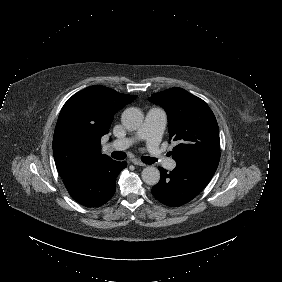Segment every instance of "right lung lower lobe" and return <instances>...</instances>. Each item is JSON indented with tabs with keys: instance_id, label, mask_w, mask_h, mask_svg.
I'll use <instances>...</instances> for the list:
<instances>
[{
	"instance_id": "98d812e1",
	"label": "right lung lower lobe",
	"mask_w": 282,
	"mask_h": 282,
	"mask_svg": "<svg viewBox=\"0 0 282 282\" xmlns=\"http://www.w3.org/2000/svg\"><path fill=\"white\" fill-rule=\"evenodd\" d=\"M126 165V162L104 159L63 178V182L78 203L86 207H98L114 195L116 177Z\"/></svg>"
}]
</instances>
